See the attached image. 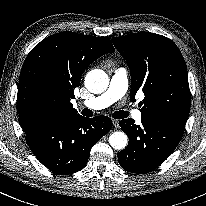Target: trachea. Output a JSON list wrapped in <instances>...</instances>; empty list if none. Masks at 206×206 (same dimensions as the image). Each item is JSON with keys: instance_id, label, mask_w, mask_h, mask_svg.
I'll return each instance as SVG.
<instances>
[{"instance_id": "obj_1", "label": "trachea", "mask_w": 206, "mask_h": 206, "mask_svg": "<svg viewBox=\"0 0 206 206\" xmlns=\"http://www.w3.org/2000/svg\"><path fill=\"white\" fill-rule=\"evenodd\" d=\"M81 113H82V115H84L86 117L93 116V112L87 108H84ZM127 116H128V112H126V111H116L112 114V117L115 119H123V118H126Z\"/></svg>"}]
</instances>
